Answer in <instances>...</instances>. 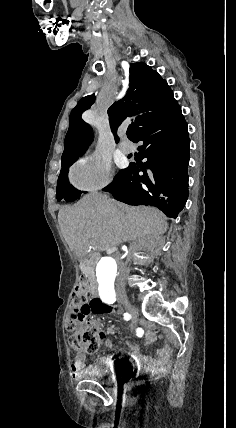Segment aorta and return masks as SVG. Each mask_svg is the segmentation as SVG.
I'll list each match as a JSON object with an SVG mask.
<instances>
[{"instance_id":"aorta-1","label":"aorta","mask_w":236,"mask_h":428,"mask_svg":"<svg viewBox=\"0 0 236 428\" xmlns=\"http://www.w3.org/2000/svg\"><path fill=\"white\" fill-rule=\"evenodd\" d=\"M117 275V261L112 257L101 258L96 266L98 291L101 295L110 294L114 291Z\"/></svg>"}]
</instances>
